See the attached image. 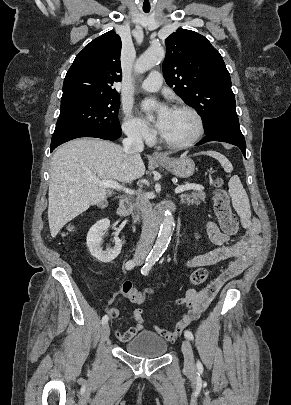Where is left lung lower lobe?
Wrapping results in <instances>:
<instances>
[{"label":"left lung lower lobe","instance_id":"0a47b994","mask_svg":"<svg viewBox=\"0 0 291 405\" xmlns=\"http://www.w3.org/2000/svg\"><path fill=\"white\" fill-rule=\"evenodd\" d=\"M209 141L227 142L236 145L241 149L243 155L246 157V142L240 127L225 126L218 128L210 134H207V136L197 143V145H201Z\"/></svg>","mask_w":291,"mask_h":405}]
</instances>
